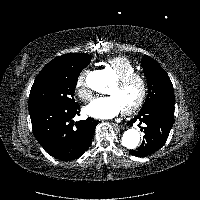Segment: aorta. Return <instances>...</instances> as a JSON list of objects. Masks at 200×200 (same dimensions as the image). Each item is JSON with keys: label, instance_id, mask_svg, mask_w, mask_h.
<instances>
[{"label": "aorta", "instance_id": "762f6f07", "mask_svg": "<svg viewBox=\"0 0 200 200\" xmlns=\"http://www.w3.org/2000/svg\"><path fill=\"white\" fill-rule=\"evenodd\" d=\"M88 86L100 93H104L107 82L102 72L97 71L89 75L87 79ZM140 142V133L136 129H128L123 133L122 144L127 149H135Z\"/></svg>", "mask_w": 200, "mask_h": 200}]
</instances>
